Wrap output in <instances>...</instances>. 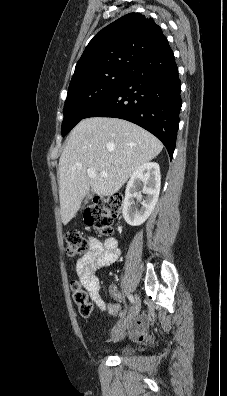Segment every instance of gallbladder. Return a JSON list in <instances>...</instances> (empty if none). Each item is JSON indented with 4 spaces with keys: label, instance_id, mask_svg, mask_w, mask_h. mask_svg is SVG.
I'll return each mask as SVG.
<instances>
[{
    "label": "gallbladder",
    "instance_id": "obj_1",
    "mask_svg": "<svg viewBox=\"0 0 227 396\" xmlns=\"http://www.w3.org/2000/svg\"><path fill=\"white\" fill-rule=\"evenodd\" d=\"M93 196V192L91 191L90 193L87 194L85 202L87 203L89 199H91Z\"/></svg>",
    "mask_w": 227,
    "mask_h": 396
}]
</instances>
